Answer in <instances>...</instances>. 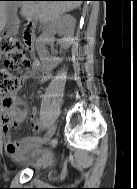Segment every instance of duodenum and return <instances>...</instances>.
Segmentation results:
<instances>
[{
  "mask_svg": "<svg viewBox=\"0 0 137 189\" xmlns=\"http://www.w3.org/2000/svg\"><path fill=\"white\" fill-rule=\"evenodd\" d=\"M23 42L29 51H33L35 47V36L31 31L26 30L23 34Z\"/></svg>",
  "mask_w": 137,
  "mask_h": 189,
  "instance_id": "obj_1",
  "label": "duodenum"
}]
</instances>
